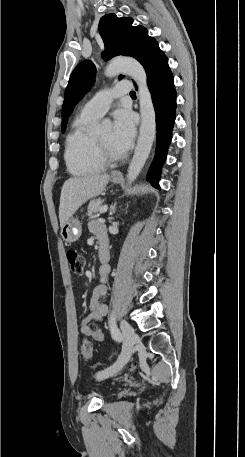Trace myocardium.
I'll return each mask as SVG.
<instances>
[{"mask_svg":"<svg viewBox=\"0 0 245 457\" xmlns=\"http://www.w3.org/2000/svg\"><path fill=\"white\" fill-rule=\"evenodd\" d=\"M87 147H88L89 157L94 162L102 164V165H104L106 163L118 161L124 157L123 154L104 153L101 150L94 133L90 134L88 141H87Z\"/></svg>","mask_w":245,"mask_h":457,"instance_id":"obj_1","label":"myocardium"}]
</instances>
